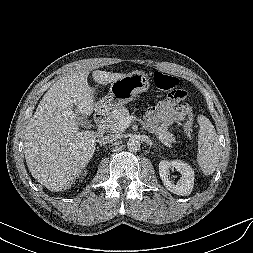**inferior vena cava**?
<instances>
[{
  "mask_svg": "<svg viewBox=\"0 0 253 253\" xmlns=\"http://www.w3.org/2000/svg\"><path fill=\"white\" fill-rule=\"evenodd\" d=\"M117 140L116 135H108V136H103L102 138L98 139V142L100 144H107V143H113Z\"/></svg>",
  "mask_w": 253,
  "mask_h": 253,
  "instance_id": "inferior-vena-cava-1",
  "label": "inferior vena cava"
}]
</instances>
